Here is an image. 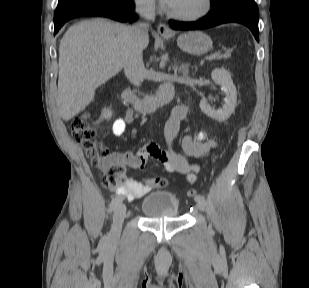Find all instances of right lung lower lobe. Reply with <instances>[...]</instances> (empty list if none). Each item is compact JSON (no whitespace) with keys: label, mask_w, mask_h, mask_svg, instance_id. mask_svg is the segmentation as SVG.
<instances>
[{"label":"right lung lower lobe","mask_w":309,"mask_h":288,"mask_svg":"<svg viewBox=\"0 0 309 288\" xmlns=\"http://www.w3.org/2000/svg\"><path fill=\"white\" fill-rule=\"evenodd\" d=\"M133 0H82L54 14V35L65 22L81 16H102L121 22L135 21Z\"/></svg>","instance_id":"1"}]
</instances>
